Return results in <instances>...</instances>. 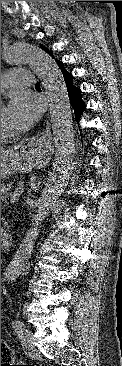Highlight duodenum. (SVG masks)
<instances>
[{"mask_svg":"<svg viewBox=\"0 0 122 366\" xmlns=\"http://www.w3.org/2000/svg\"><path fill=\"white\" fill-rule=\"evenodd\" d=\"M11 243V236L9 233H1V246H9Z\"/></svg>","mask_w":122,"mask_h":366,"instance_id":"obj_1","label":"duodenum"}]
</instances>
